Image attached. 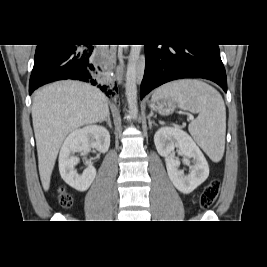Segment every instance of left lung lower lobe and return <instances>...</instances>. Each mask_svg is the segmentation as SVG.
<instances>
[{
    "label": "left lung lower lobe",
    "mask_w": 267,
    "mask_h": 267,
    "mask_svg": "<svg viewBox=\"0 0 267 267\" xmlns=\"http://www.w3.org/2000/svg\"><path fill=\"white\" fill-rule=\"evenodd\" d=\"M146 66L140 98L172 80L204 78L227 92V79L218 45H145Z\"/></svg>",
    "instance_id": "0a47b994"
}]
</instances>
